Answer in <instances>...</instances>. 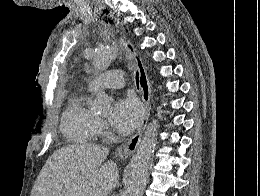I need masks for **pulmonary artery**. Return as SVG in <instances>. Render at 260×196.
Instances as JSON below:
<instances>
[{
  "mask_svg": "<svg viewBox=\"0 0 260 196\" xmlns=\"http://www.w3.org/2000/svg\"><path fill=\"white\" fill-rule=\"evenodd\" d=\"M111 74H108V79H96L91 83L95 90H121V85H108L123 83L125 72L123 69H111Z\"/></svg>",
  "mask_w": 260,
  "mask_h": 196,
  "instance_id": "1",
  "label": "pulmonary artery"
}]
</instances>
